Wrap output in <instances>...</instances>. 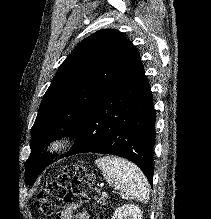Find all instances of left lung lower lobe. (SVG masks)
<instances>
[{
  "mask_svg": "<svg viewBox=\"0 0 211 219\" xmlns=\"http://www.w3.org/2000/svg\"><path fill=\"white\" fill-rule=\"evenodd\" d=\"M155 119L153 95L138 56L85 115L72 136V149L60 158L88 152L117 155L139 166L152 185ZM41 151L33 160L45 168L54 157Z\"/></svg>",
  "mask_w": 211,
  "mask_h": 219,
  "instance_id": "left-lung-lower-lobe-1",
  "label": "left lung lower lobe"
}]
</instances>
